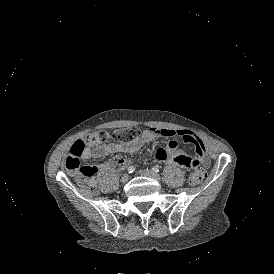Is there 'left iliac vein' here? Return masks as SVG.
Wrapping results in <instances>:
<instances>
[{"label":"left iliac vein","mask_w":274,"mask_h":274,"mask_svg":"<svg viewBox=\"0 0 274 274\" xmlns=\"http://www.w3.org/2000/svg\"><path fill=\"white\" fill-rule=\"evenodd\" d=\"M139 174L145 177L153 178L158 181L161 180V176L155 172H152L151 170H140Z\"/></svg>","instance_id":"1"}]
</instances>
